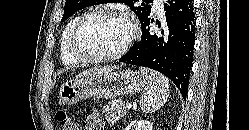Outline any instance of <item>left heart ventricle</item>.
Wrapping results in <instances>:
<instances>
[{"instance_id": "b2bd125f", "label": "left heart ventricle", "mask_w": 249, "mask_h": 130, "mask_svg": "<svg viewBox=\"0 0 249 130\" xmlns=\"http://www.w3.org/2000/svg\"><path fill=\"white\" fill-rule=\"evenodd\" d=\"M130 35L129 23L115 16H97L83 26L80 49L89 54L106 55L120 49Z\"/></svg>"}]
</instances>
